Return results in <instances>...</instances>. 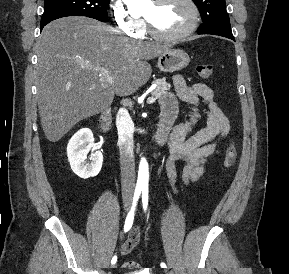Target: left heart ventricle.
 <instances>
[{
    "instance_id": "b2bd125f",
    "label": "left heart ventricle",
    "mask_w": 289,
    "mask_h": 274,
    "mask_svg": "<svg viewBox=\"0 0 289 274\" xmlns=\"http://www.w3.org/2000/svg\"><path fill=\"white\" fill-rule=\"evenodd\" d=\"M154 27L164 34H176L191 22V9L184 0H169L162 4L151 2L143 12Z\"/></svg>"
}]
</instances>
